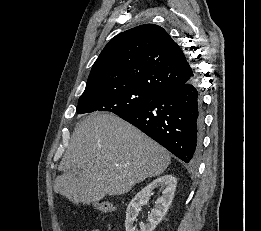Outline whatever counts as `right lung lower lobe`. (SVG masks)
<instances>
[{
  "label": "right lung lower lobe",
  "mask_w": 261,
  "mask_h": 231,
  "mask_svg": "<svg viewBox=\"0 0 261 231\" xmlns=\"http://www.w3.org/2000/svg\"><path fill=\"white\" fill-rule=\"evenodd\" d=\"M119 117L133 124L182 161L196 164L203 127L202 98L192 78Z\"/></svg>",
  "instance_id": "right-lung-lower-lobe-1"
}]
</instances>
